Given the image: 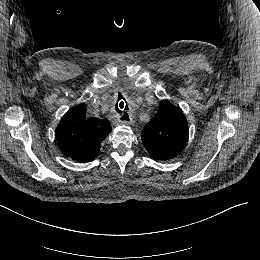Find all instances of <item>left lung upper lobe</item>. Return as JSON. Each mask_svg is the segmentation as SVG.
<instances>
[{
	"label": "left lung upper lobe",
	"instance_id": "obj_1",
	"mask_svg": "<svg viewBox=\"0 0 260 260\" xmlns=\"http://www.w3.org/2000/svg\"><path fill=\"white\" fill-rule=\"evenodd\" d=\"M151 158L169 161L180 155L187 138L188 124L182 110L167 100L160 102L157 114L141 133Z\"/></svg>",
	"mask_w": 260,
	"mask_h": 260
}]
</instances>
